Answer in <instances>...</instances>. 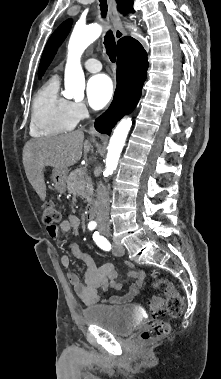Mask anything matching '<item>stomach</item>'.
Here are the masks:
<instances>
[{
  "instance_id": "obj_1",
  "label": "stomach",
  "mask_w": 221,
  "mask_h": 379,
  "mask_svg": "<svg viewBox=\"0 0 221 379\" xmlns=\"http://www.w3.org/2000/svg\"><path fill=\"white\" fill-rule=\"evenodd\" d=\"M67 168H54L52 173V180L55 186V189L64 193L66 191V181H67Z\"/></svg>"
}]
</instances>
